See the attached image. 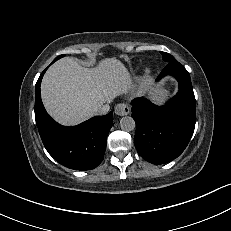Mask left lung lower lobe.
<instances>
[{"label": "left lung lower lobe", "mask_w": 231, "mask_h": 231, "mask_svg": "<svg viewBox=\"0 0 231 231\" xmlns=\"http://www.w3.org/2000/svg\"><path fill=\"white\" fill-rule=\"evenodd\" d=\"M175 77L179 84L176 96L164 106H156L145 98L133 100L131 116L136 123L134 143L138 153L148 162L163 164L184 151L194 132L195 97L187 70L173 61L160 73Z\"/></svg>", "instance_id": "1"}]
</instances>
